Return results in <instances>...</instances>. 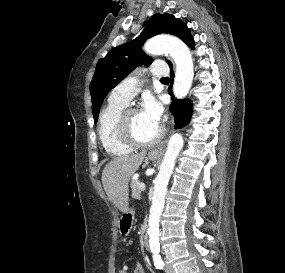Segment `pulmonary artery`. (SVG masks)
Segmentation results:
<instances>
[{
    "mask_svg": "<svg viewBox=\"0 0 285 273\" xmlns=\"http://www.w3.org/2000/svg\"><path fill=\"white\" fill-rule=\"evenodd\" d=\"M150 73L154 77H166L169 73V68L163 61H154L151 65ZM138 89L139 81L134 77H130L113 89L110 95V100L128 104V102L135 96Z\"/></svg>",
    "mask_w": 285,
    "mask_h": 273,
    "instance_id": "1",
    "label": "pulmonary artery"
}]
</instances>
